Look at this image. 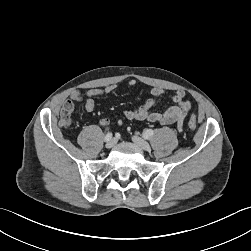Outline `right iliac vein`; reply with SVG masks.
<instances>
[{"label":"right iliac vein","instance_id":"63e3f726","mask_svg":"<svg viewBox=\"0 0 251 251\" xmlns=\"http://www.w3.org/2000/svg\"><path fill=\"white\" fill-rule=\"evenodd\" d=\"M115 145V140L114 139H111L110 141H108L107 143H106V148H108V149H110V148H112L113 146Z\"/></svg>","mask_w":251,"mask_h":251}]
</instances>
